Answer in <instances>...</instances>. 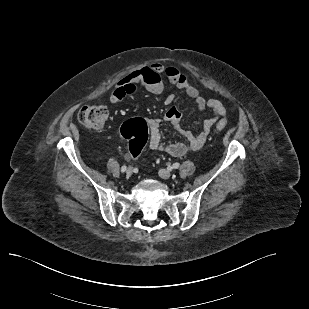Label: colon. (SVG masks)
<instances>
[{
	"instance_id": "5ec220e1",
	"label": "colon",
	"mask_w": 309,
	"mask_h": 309,
	"mask_svg": "<svg viewBox=\"0 0 309 309\" xmlns=\"http://www.w3.org/2000/svg\"><path fill=\"white\" fill-rule=\"evenodd\" d=\"M108 117V111L104 106L87 105L81 108L78 114L80 123L92 131L101 130ZM227 126L225 120L216 124L217 130H223ZM121 134L128 142L129 154L137 158L149 139V130L146 121L141 118L130 119L121 127Z\"/></svg>"
}]
</instances>
